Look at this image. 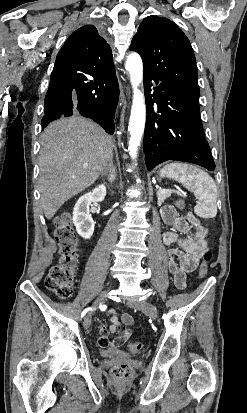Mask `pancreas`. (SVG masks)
Segmentation results:
<instances>
[{
    "label": "pancreas",
    "mask_w": 247,
    "mask_h": 413,
    "mask_svg": "<svg viewBox=\"0 0 247 413\" xmlns=\"http://www.w3.org/2000/svg\"><path fill=\"white\" fill-rule=\"evenodd\" d=\"M170 194L171 192H169V190H167V192H157L158 204H161V202H164L165 198H168Z\"/></svg>",
    "instance_id": "pancreas-1"
}]
</instances>
